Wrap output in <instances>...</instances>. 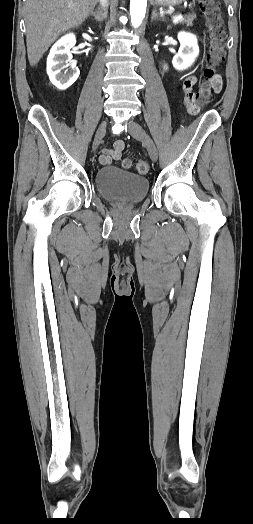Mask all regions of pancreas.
<instances>
[{"label": "pancreas", "instance_id": "1", "mask_svg": "<svg viewBox=\"0 0 253 524\" xmlns=\"http://www.w3.org/2000/svg\"><path fill=\"white\" fill-rule=\"evenodd\" d=\"M194 18H195V15H189L185 17L184 19H182L180 23H185L187 26H192Z\"/></svg>", "mask_w": 253, "mask_h": 524}]
</instances>
